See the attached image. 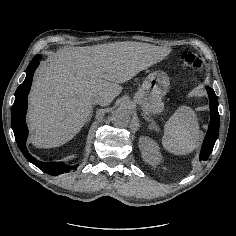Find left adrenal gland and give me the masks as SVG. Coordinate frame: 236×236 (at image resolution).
I'll return each instance as SVG.
<instances>
[{"mask_svg": "<svg viewBox=\"0 0 236 236\" xmlns=\"http://www.w3.org/2000/svg\"><path fill=\"white\" fill-rule=\"evenodd\" d=\"M145 120H147L148 122H151L152 124H154V123H155L153 119H151V118H148V117H146V116H145Z\"/></svg>", "mask_w": 236, "mask_h": 236, "instance_id": "obj_1", "label": "left adrenal gland"}]
</instances>
